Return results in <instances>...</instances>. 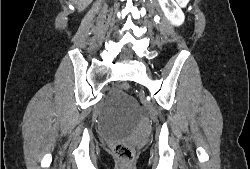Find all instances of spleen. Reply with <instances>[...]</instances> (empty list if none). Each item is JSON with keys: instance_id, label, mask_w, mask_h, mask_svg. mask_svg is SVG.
<instances>
[{"instance_id": "spleen-1", "label": "spleen", "mask_w": 250, "mask_h": 169, "mask_svg": "<svg viewBox=\"0 0 250 169\" xmlns=\"http://www.w3.org/2000/svg\"><path fill=\"white\" fill-rule=\"evenodd\" d=\"M184 4H186L187 0H183Z\"/></svg>"}]
</instances>
